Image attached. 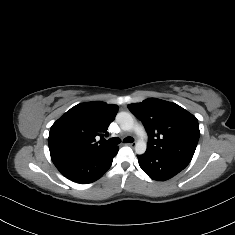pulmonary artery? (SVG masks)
<instances>
[{
    "mask_svg": "<svg viewBox=\"0 0 235 235\" xmlns=\"http://www.w3.org/2000/svg\"><path fill=\"white\" fill-rule=\"evenodd\" d=\"M138 131L142 132V128L140 126H138Z\"/></svg>",
    "mask_w": 235,
    "mask_h": 235,
    "instance_id": "e3ab8cb5",
    "label": "pulmonary artery"
}]
</instances>
